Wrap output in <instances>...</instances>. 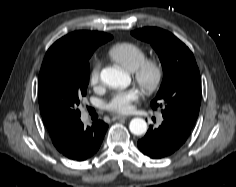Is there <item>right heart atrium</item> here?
<instances>
[{"label":"right heart atrium","instance_id":"right-heart-atrium-1","mask_svg":"<svg viewBox=\"0 0 236 187\" xmlns=\"http://www.w3.org/2000/svg\"><path fill=\"white\" fill-rule=\"evenodd\" d=\"M100 63L98 61L94 62L90 68L88 81L89 84L93 87L97 86L100 83Z\"/></svg>","mask_w":236,"mask_h":187}]
</instances>
